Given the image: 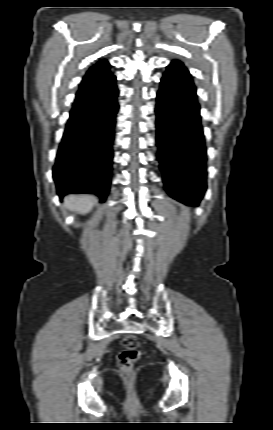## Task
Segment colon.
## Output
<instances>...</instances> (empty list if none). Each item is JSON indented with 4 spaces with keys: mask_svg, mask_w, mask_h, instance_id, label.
<instances>
[{
    "mask_svg": "<svg viewBox=\"0 0 273 430\" xmlns=\"http://www.w3.org/2000/svg\"><path fill=\"white\" fill-rule=\"evenodd\" d=\"M124 349L119 353L118 364L121 371L130 376L134 365L141 356L139 339L134 335H127L123 339Z\"/></svg>",
    "mask_w": 273,
    "mask_h": 430,
    "instance_id": "colon-1",
    "label": "colon"
}]
</instances>
